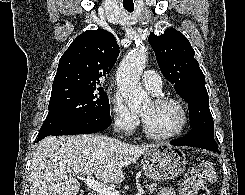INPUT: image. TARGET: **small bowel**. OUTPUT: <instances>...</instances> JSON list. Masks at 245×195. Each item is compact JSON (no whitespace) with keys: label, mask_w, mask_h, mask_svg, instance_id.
<instances>
[{"label":"small bowel","mask_w":245,"mask_h":195,"mask_svg":"<svg viewBox=\"0 0 245 195\" xmlns=\"http://www.w3.org/2000/svg\"><path fill=\"white\" fill-rule=\"evenodd\" d=\"M158 195H175V193L172 188L164 187L159 191Z\"/></svg>","instance_id":"1"}]
</instances>
